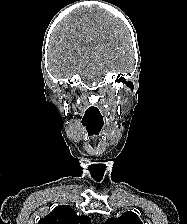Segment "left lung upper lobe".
Listing matches in <instances>:
<instances>
[{
	"label": "left lung upper lobe",
	"instance_id": "left-lung-upper-lobe-1",
	"mask_svg": "<svg viewBox=\"0 0 187 224\" xmlns=\"http://www.w3.org/2000/svg\"><path fill=\"white\" fill-rule=\"evenodd\" d=\"M105 224H143L137 214L131 211L123 213L118 218H109Z\"/></svg>",
	"mask_w": 187,
	"mask_h": 224
}]
</instances>
